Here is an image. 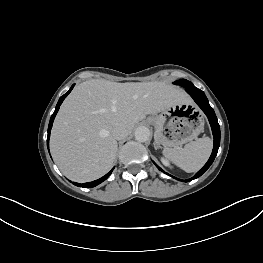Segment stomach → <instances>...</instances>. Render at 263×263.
<instances>
[{
	"mask_svg": "<svg viewBox=\"0 0 263 263\" xmlns=\"http://www.w3.org/2000/svg\"><path fill=\"white\" fill-rule=\"evenodd\" d=\"M155 128L156 143L166 148L191 142L204 129V118L196 106L187 100L175 104L159 115L147 119Z\"/></svg>",
	"mask_w": 263,
	"mask_h": 263,
	"instance_id": "0dacf381",
	"label": "stomach"
}]
</instances>
